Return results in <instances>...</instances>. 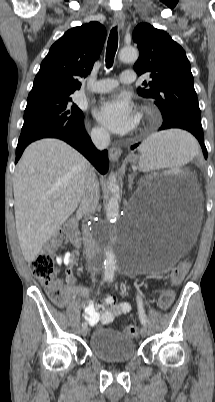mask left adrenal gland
Listing matches in <instances>:
<instances>
[{
	"mask_svg": "<svg viewBox=\"0 0 215 402\" xmlns=\"http://www.w3.org/2000/svg\"><path fill=\"white\" fill-rule=\"evenodd\" d=\"M133 179H134V175H129L128 176V187H129V189H131V187H132Z\"/></svg>",
	"mask_w": 215,
	"mask_h": 402,
	"instance_id": "obj_1",
	"label": "left adrenal gland"
}]
</instances>
